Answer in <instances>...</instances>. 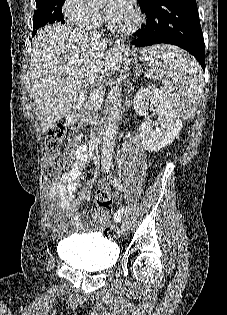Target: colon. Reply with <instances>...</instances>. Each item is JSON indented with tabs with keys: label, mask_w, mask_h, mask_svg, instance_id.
Wrapping results in <instances>:
<instances>
[{
	"label": "colon",
	"mask_w": 227,
	"mask_h": 315,
	"mask_svg": "<svg viewBox=\"0 0 227 315\" xmlns=\"http://www.w3.org/2000/svg\"><path fill=\"white\" fill-rule=\"evenodd\" d=\"M64 140V130L61 126L50 129L44 138L45 158L42 166L41 179L44 183L55 182L62 173L66 172L70 165L72 156L70 153L61 151ZM73 144L82 142V137L74 133L71 137ZM98 216L97 221L105 226L104 235L107 238H115L120 235V230L112 224L109 216L112 211V197L108 190L101 188L95 195Z\"/></svg>",
	"instance_id": "5ec220e1"
}]
</instances>
